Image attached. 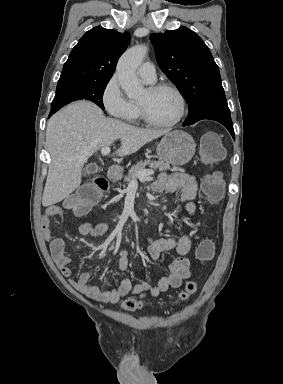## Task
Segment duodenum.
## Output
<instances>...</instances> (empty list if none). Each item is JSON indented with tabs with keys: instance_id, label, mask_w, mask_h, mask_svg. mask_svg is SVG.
Listing matches in <instances>:
<instances>
[{
	"instance_id": "obj_1",
	"label": "duodenum",
	"mask_w": 283,
	"mask_h": 384,
	"mask_svg": "<svg viewBox=\"0 0 283 384\" xmlns=\"http://www.w3.org/2000/svg\"><path fill=\"white\" fill-rule=\"evenodd\" d=\"M122 169L116 165L110 167V177L113 181H118L121 178Z\"/></svg>"
}]
</instances>
